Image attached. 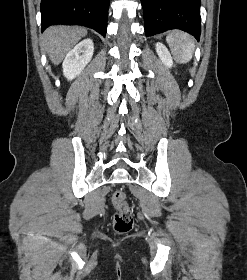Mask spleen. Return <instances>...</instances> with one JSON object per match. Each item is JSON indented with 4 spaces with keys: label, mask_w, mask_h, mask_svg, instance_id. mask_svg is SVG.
I'll return each mask as SVG.
<instances>
[{
    "label": "spleen",
    "mask_w": 247,
    "mask_h": 280,
    "mask_svg": "<svg viewBox=\"0 0 247 280\" xmlns=\"http://www.w3.org/2000/svg\"><path fill=\"white\" fill-rule=\"evenodd\" d=\"M171 51L179 63H188L193 56L195 43L194 38L183 31H172L166 37Z\"/></svg>",
    "instance_id": "1"
}]
</instances>
